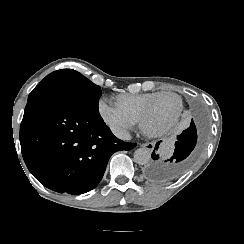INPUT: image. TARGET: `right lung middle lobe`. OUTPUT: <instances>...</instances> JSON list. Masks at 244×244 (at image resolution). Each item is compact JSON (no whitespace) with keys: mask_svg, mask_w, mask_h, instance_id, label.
<instances>
[{"mask_svg":"<svg viewBox=\"0 0 244 244\" xmlns=\"http://www.w3.org/2000/svg\"><path fill=\"white\" fill-rule=\"evenodd\" d=\"M100 87L79 72L63 69L47 75L30 93L29 101L52 100L98 112Z\"/></svg>","mask_w":244,"mask_h":244,"instance_id":"dd1d6c3e","label":"right lung middle lobe"}]
</instances>
